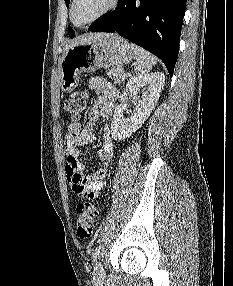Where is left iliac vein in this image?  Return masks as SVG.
I'll use <instances>...</instances> for the list:
<instances>
[{"label": "left iliac vein", "instance_id": "left-iliac-vein-1", "mask_svg": "<svg viewBox=\"0 0 233 286\" xmlns=\"http://www.w3.org/2000/svg\"><path fill=\"white\" fill-rule=\"evenodd\" d=\"M94 278L101 280L104 277V269L100 261H96L94 267Z\"/></svg>", "mask_w": 233, "mask_h": 286}]
</instances>
